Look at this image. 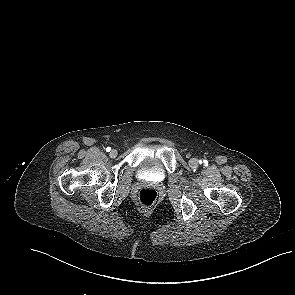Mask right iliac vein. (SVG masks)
<instances>
[{
    "mask_svg": "<svg viewBox=\"0 0 295 295\" xmlns=\"http://www.w3.org/2000/svg\"><path fill=\"white\" fill-rule=\"evenodd\" d=\"M117 154H118L117 150L116 149H112L110 151V154L109 155H110L111 158H115L117 156Z\"/></svg>",
    "mask_w": 295,
    "mask_h": 295,
    "instance_id": "63e3f726",
    "label": "right iliac vein"
}]
</instances>
